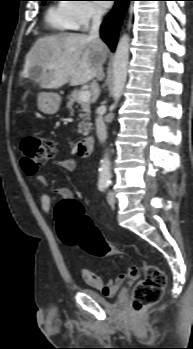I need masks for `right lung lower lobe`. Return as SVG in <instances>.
Here are the masks:
<instances>
[{
  "label": "right lung lower lobe",
  "mask_w": 193,
  "mask_h": 349,
  "mask_svg": "<svg viewBox=\"0 0 193 349\" xmlns=\"http://www.w3.org/2000/svg\"><path fill=\"white\" fill-rule=\"evenodd\" d=\"M115 6L106 17L101 25V38L108 44L112 51L115 50L118 32L127 8L128 1L131 0H115Z\"/></svg>",
  "instance_id": "obj_1"
}]
</instances>
